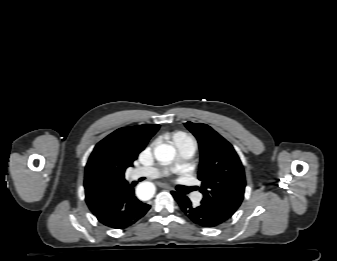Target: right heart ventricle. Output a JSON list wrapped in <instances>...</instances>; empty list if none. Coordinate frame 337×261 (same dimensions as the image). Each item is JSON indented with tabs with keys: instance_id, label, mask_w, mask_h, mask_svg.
I'll return each instance as SVG.
<instances>
[{
	"instance_id": "right-heart-ventricle-1",
	"label": "right heart ventricle",
	"mask_w": 337,
	"mask_h": 261,
	"mask_svg": "<svg viewBox=\"0 0 337 261\" xmlns=\"http://www.w3.org/2000/svg\"><path fill=\"white\" fill-rule=\"evenodd\" d=\"M172 140L177 147L185 143L194 142L189 135L181 131L174 132L172 134Z\"/></svg>"
}]
</instances>
